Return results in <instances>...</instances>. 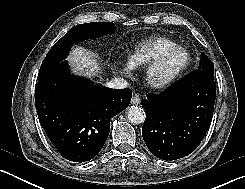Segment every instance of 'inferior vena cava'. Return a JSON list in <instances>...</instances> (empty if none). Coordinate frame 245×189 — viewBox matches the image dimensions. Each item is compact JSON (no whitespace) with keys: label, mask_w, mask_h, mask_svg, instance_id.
<instances>
[{"label":"inferior vena cava","mask_w":245,"mask_h":189,"mask_svg":"<svg viewBox=\"0 0 245 189\" xmlns=\"http://www.w3.org/2000/svg\"><path fill=\"white\" fill-rule=\"evenodd\" d=\"M106 86L113 89H124L127 87V82L123 78L117 77L106 83Z\"/></svg>","instance_id":"obj_1"}]
</instances>
